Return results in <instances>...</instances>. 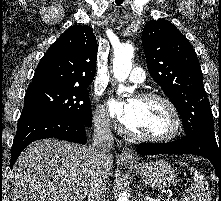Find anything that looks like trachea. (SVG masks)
Listing matches in <instances>:
<instances>
[{
    "label": "trachea",
    "mask_w": 221,
    "mask_h": 201,
    "mask_svg": "<svg viewBox=\"0 0 221 201\" xmlns=\"http://www.w3.org/2000/svg\"><path fill=\"white\" fill-rule=\"evenodd\" d=\"M118 5H121L124 0H115Z\"/></svg>",
    "instance_id": "obj_1"
}]
</instances>
